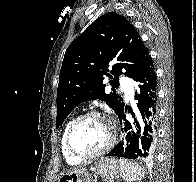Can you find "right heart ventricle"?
Returning a JSON list of instances; mask_svg holds the SVG:
<instances>
[{
    "instance_id": "obj_1",
    "label": "right heart ventricle",
    "mask_w": 196,
    "mask_h": 182,
    "mask_svg": "<svg viewBox=\"0 0 196 182\" xmlns=\"http://www.w3.org/2000/svg\"><path fill=\"white\" fill-rule=\"evenodd\" d=\"M74 119H70L64 126V130H63V134H62V138H61V150H62V153H63V156L66 160V162L70 165H77L79 164L82 160L78 159V158H75L74 156H72L66 149V146H65V135H66V132H67V129L69 127V125L71 124V122L73 121Z\"/></svg>"
}]
</instances>
